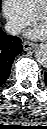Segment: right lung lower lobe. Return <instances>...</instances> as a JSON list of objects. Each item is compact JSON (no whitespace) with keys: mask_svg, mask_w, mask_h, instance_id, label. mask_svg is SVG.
Masks as SVG:
<instances>
[{"mask_svg":"<svg viewBox=\"0 0 47 129\" xmlns=\"http://www.w3.org/2000/svg\"><path fill=\"white\" fill-rule=\"evenodd\" d=\"M21 51V40L5 34L0 29V86L7 80L12 62Z\"/></svg>","mask_w":47,"mask_h":129,"instance_id":"obj_1","label":"right lung lower lobe"}]
</instances>
